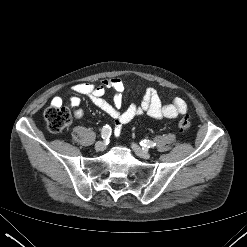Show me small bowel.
<instances>
[{
    "instance_id": "obj_1",
    "label": "small bowel",
    "mask_w": 247,
    "mask_h": 247,
    "mask_svg": "<svg viewBox=\"0 0 247 247\" xmlns=\"http://www.w3.org/2000/svg\"><path fill=\"white\" fill-rule=\"evenodd\" d=\"M72 90L77 95H74L69 99V106L77 107L79 105L80 98L78 95L87 96L96 107L116 121L118 127L116 134L119 133L121 125L129 123L134 118L143 114H147L155 120H162L174 119L187 112V104L182 98L176 97L171 103L164 104L154 88H147L139 103H132L123 110L122 93L124 91V84L119 78H108L101 81L99 84L87 82L77 83L73 85ZM107 90H112L114 92L112 104L103 98ZM51 103L55 106H61L62 99L60 97H54ZM75 116L81 118L83 116V111L77 110Z\"/></svg>"
}]
</instances>
